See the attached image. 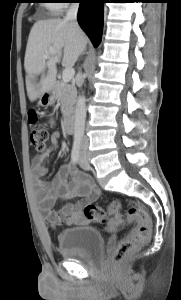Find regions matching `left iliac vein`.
Here are the masks:
<instances>
[{"label": "left iliac vein", "instance_id": "obj_1", "mask_svg": "<svg viewBox=\"0 0 181 300\" xmlns=\"http://www.w3.org/2000/svg\"><path fill=\"white\" fill-rule=\"evenodd\" d=\"M79 165L83 169H89L90 165L87 159V155L85 152H81L80 160H79Z\"/></svg>", "mask_w": 181, "mask_h": 300}]
</instances>
